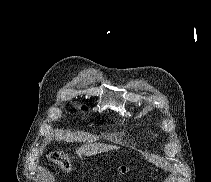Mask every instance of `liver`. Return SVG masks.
Returning a JSON list of instances; mask_svg holds the SVG:
<instances>
[{"label":"liver","instance_id":"1","mask_svg":"<svg viewBox=\"0 0 211 182\" xmlns=\"http://www.w3.org/2000/svg\"><path fill=\"white\" fill-rule=\"evenodd\" d=\"M117 149L116 146L107 145L102 143L82 145L76 150L77 155L93 156L98 153L106 152L108 150Z\"/></svg>","mask_w":211,"mask_h":182}]
</instances>
